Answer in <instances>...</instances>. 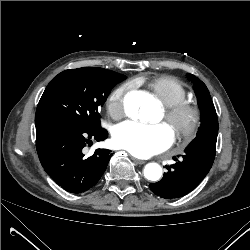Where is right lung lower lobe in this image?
Masks as SVG:
<instances>
[{
	"mask_svg": "<svg viewBox=\"0 0 250 250\" xmlns=\"http://www.w3.org/2000/svg\"><path fill=\"white\" fill-rule=\"evenodd\" d=\"M36 124V149L48 175L62 188L80 193L94 186L103 175L113 155L108 149H97L90 157L84 147L92 140L103 141L108 133L67 122L39 120Z\"/></svg>",
	"mask_w": 250,
	"mask_h": 250,
	"instance_id": "obj_1",
	"label": "right lung lower lobe"
}]
</instances>
